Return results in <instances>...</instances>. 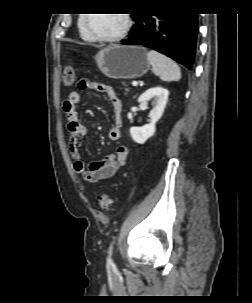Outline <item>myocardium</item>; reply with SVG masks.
<instances>
[{"instance_id": "obj_1", "label": "myocardium", "mask_w": 252, "mask_h": 303, "mask_svg": "<svg viewBox=\"0 0 252 303\" xmlns=\"http://www.w3.org/2000/svg\"><path fill=\"white\" fill-rule=\"evenodd\" d=\"M122 15L124 16L125 24H124L123 28L115 34H111V35L92 34L88 30V27H87V24H88V21H89L88 17L84 18L83 21H82L83 32H84L86 37H88L89 39H92V40L105 41V42H113V41L120 40L121 38H123L129 32V30L132 26L131 15L129 13H124Z\"/></svg>"}]
</instances>
